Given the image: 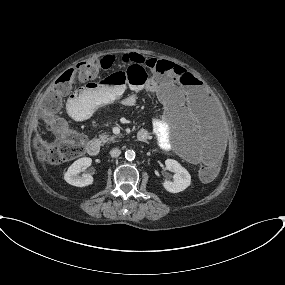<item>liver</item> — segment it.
I'll list each match as a JSON object with an SVG mask.
<instances>
[{
	"instance_id": "obj_1",
	"label": "liver",
	"mask_w": 285,
	"mask_h": 285,
	"mask_svg": "<svg viewBox=\"0 0 285 285\" xmlns=\"http://www.w3.org/2000/svg\"><path fill=\"white\" fill-rule=\"evenodd\" d=\"M43 146H45L49 150L52 147V143L48 144L46 142H43Z\"/></svg>"
}]
</instances>
